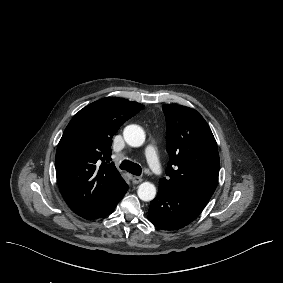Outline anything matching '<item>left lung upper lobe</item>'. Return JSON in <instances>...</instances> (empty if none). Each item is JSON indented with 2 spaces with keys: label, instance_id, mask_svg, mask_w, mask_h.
Instances as JSON below:
<instances>
[{
  "label": "left lung upper lobe",
  "instance_id": "1",
  "mask_svg": "<svg viewBox=\"0 0 283 283\" xmlns=\"http://www.w3.org/2000/svg\"><path fill=\"white\" fill-rule=\"evenodd\" d=\"M170 160L159 187L208 202L215 191L219 154L215 138L199 112L181 105H162Z\"/></svg>",
  "mask_w": 283,
  "mask_h": 283
}]
</instances>
